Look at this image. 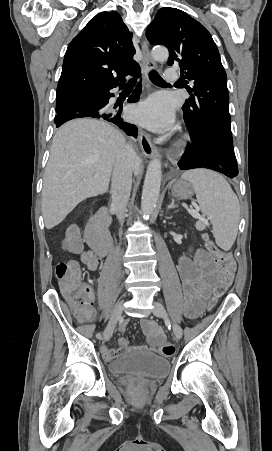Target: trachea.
<instances>
[{"mask_svg": "<svg viewBox=\"0 0 272 451\" xmlns=\"http://www.w3.org/2000/svg\"><path fill=\"white\" fill-rule=\"evenodd\" d=\"M150 80L155 84H166V82L163 80V78L160 77L159 73H157L155 70L150 72ZM136 80H130L128 82V85H135Z\"/></svg>", "mask_w": 272, "mask_h": 451, "instance_id": "3493384b", "label": "trachea"}]
</instances>
